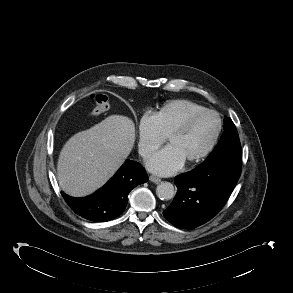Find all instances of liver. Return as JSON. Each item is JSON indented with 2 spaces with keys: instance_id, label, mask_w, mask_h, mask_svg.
<instances>
[{
  "instance_id": "1",
  "label": "liver",
  "mask_w": 293,
  "mask_h": 293,
  "mask_svg": "<svg viewBox=\"0 0 293 293\" xmlns=\"http://www.w3.org/2000/svg\"><path fill=\"white\" fill-rule=\"evenodd\" d=\"M134 142V123L122 115H111L75 134L59 155L57 178L61 189L74 197L91 194L114 175Z\"/></svg>"
}]
</instances>
